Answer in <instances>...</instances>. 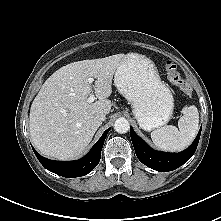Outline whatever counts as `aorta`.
Segmentation results:
<instances>
[{
	"mask_svg": "<svg viewBox=\"0 0 221 221\" xmlns=\"http://www.w3.org/2000/svg\"><path fill=\"white\" fill-rule=\"evenodd\" d=\"M129 128H130V124L126 118L120 117L116 119L114 123V129L116 132L121 133V134L127 133L129 131Z\"/></svg>",
	"mask_w": 221,
	"mask_h": 221,
	"instance_id": "aorta-1",
	"label": "aorta"
}]
</instances>
